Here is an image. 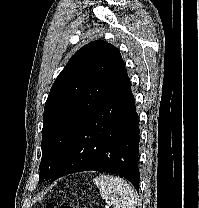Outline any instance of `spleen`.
Listing matches in <instances>:
<instances>
[{"label":"spleen","instance_id":"spleen-1","mask_svg":"<svg viewBox=\"0 0 199 208\" xmlns=\"http://www.w3.org/2000/svg\"><path fill=\"white\" fill-rule=\"evenodd\" d=\"M101 197L113 208H136L137 194L123 179L112 175H100L93 179Z\"/></svg>","mask_w":199,"mask_h":208}]
</instances>
